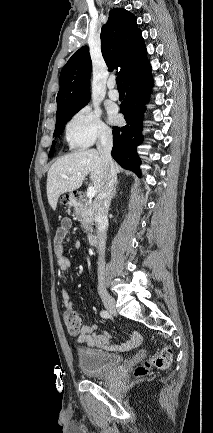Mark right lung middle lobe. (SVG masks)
Listing matches in <instances>:
<instances>
[{"instance_id":"obj_1","label":"right lung middle lobe","mask_w":213,"mask_h":433,"mask_svg":"<svg viewBox=\"0 0 213 433\" xmlns=\"http://www.w3.org/2000/svg\"><path fill=\"white\" fill-rule=\"evenodd\" d=\"M88 102H85L73 109H70L68 111H66L64 114H62L59 118L56 119V128L54 131L53 136H60V134L63 131L64 125L66 124V122L75 114L77 113L80 109H82ZM54 145L55 142L53 141V144L51 146V150L49 152V157L53 156V151H54Z\"/></svg>"}]
</instances>
